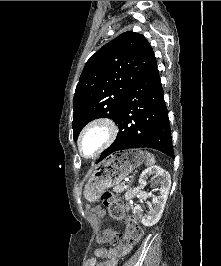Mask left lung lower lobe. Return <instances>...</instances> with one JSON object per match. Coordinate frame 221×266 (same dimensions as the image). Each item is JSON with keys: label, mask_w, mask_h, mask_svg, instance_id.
<instances>
[{"label": "left lung lower lobe", "mask_w": 221, "mask_h": 266, "mask_svg": "<svg viewBox=\"0 0 221 266\" xmlns=\"http://www.w3.org/2000/svg\"><path fill=\"white\" fill-rule=\"evenodd\" d=\"M116 124L118 135L98 162L115 152L139 147L153 148L174 158L168 111L157 68L131 87Z\"/></svg>", "instance_id": "1"}]
</instances>
